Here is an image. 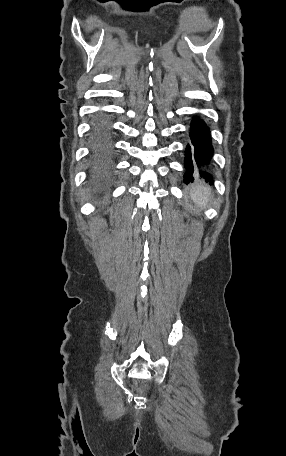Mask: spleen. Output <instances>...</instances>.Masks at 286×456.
<instances>
[{
    "label": "spleen",
    "instance_id": "3e777b00",
    "mask_svg": "<svg viewBox=\"0 0 286 456\" xmlns=\"http://www.w3.org/2000/svg\"><path fill=\"white\" fill-rule=\"evenodd\" d=\"M212 198L211 190L204 184H197L191 189V199L200 208L209 205Z\"/></svg>",
    "mask_w": 286,
    "mask_h": 456
}]
</instances>
